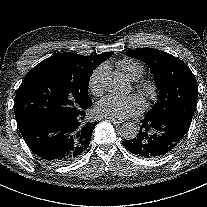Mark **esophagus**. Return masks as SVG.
I'll use <instances>...</instances> for the list:
<instances>
[{"label": "esophagus", "instance_id": "esophagus-1", "mask_svg": "<svg viewBox=\"0 0 207 207\" xmlns=\"http://www.w3.org/2000/svg\"><path fill=\"white\" fill-rule=\"evenodd\" d=\"M105 118L111 122H114L116 126H121L123 124V119L121 117L114 118L111 116H106Z\"/></svg>", "mask_w": 207, "mask_h": 207}]
</instances>
